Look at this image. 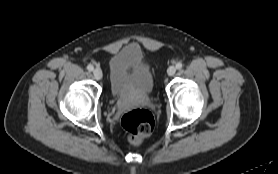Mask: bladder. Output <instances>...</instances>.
Returning <instances> with one entry per match:
<instances>
[{"instance_id": "31cf9c89", "label": "bladder", "mask_w": 278, "mask_h": 174, "mask_svg": "<svg viewBox=\"0 0 278 174\" xmlns=\"http://www.w3.org/2000/svg\"><path fill=\"white\" fill-rule=\"evenodd\" d=\"M110 85L117 100L148 98L154 89V76L141 51L123 48L109 60Z\"/></svg>"}]
</instances>
